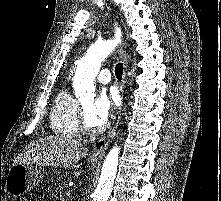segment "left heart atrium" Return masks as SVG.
Returning <instances> with one entry per match:
<instances>
[{"instance_id":"left-heart-atrium-1","label":"left heart atrium","mask_w":221,"mask_h":201,"mask_svg":"<svg viewBox=\"0 0 221 201\" xmlns=\"http://www.w3.org/2000/svg\"><path fill=\"white\" fill-rule=\"evenodd\" d=\"M117 103L118 100L115 94L102 92L92 105V117L101 125L104 124L111 116Z\"/></svg>"}]
</instances>
